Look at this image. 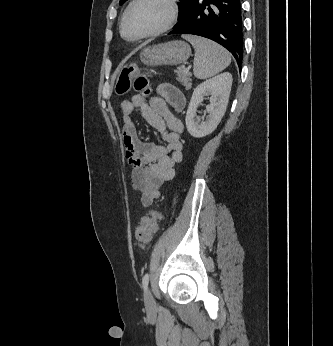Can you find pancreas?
<instances>
[{"label": "pancreas", "mask_w": 333, "mask_h": 346, "mask_svg": "<svg viewBox=\"0 0 333 346\" xmlns=\"http://www.w3.org/2000/svg\"><path fill=\"white\" fill-rule=\"evenodd\" d=\"M177 80L187 89H191V74L184 72V69L178 68L176 71Z\"/></svg>", "instance_id": "obj_1"}]
</instances>
